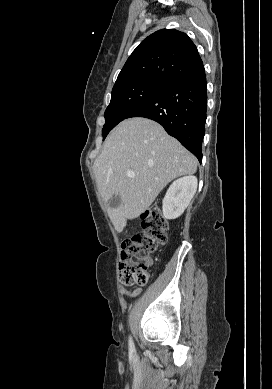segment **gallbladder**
Wrapping results in <instances>:
<instances>
[{
    "mask_svg": "<svg viewBox=\"0 0 272 389\" xmlns=\"http://www.w3.org/2000/svg\"><path fill=\"white\" fill-rule=\"evenodd\" d=\"M120 204H121V198H120L119 195H114V196L110 199V201L108 202V206H109L110 208H117V207L120 206Z\"/></svg>",
    "mask_w": 272,
    "mask_h": 389,
    "instance_id": "1",
    "label": "gallbladder"
}]
</instances>
